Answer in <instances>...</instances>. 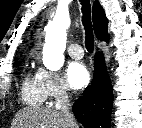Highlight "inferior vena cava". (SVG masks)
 <instances>
[{
  "mask_svg": "<svg viewBox=\"0 0 142 128\" xmlns=\"http://www.w3.org/2000/svg\"><path fill=\"white\" fill-rule=\"evenodd\" d=\"M60 114L65 118L70 128H78L74 115L70 111V104L67 93L61 95L59 99Z\"/></svg>",
  "mask_w": 142,
  "mask_h": 128,
  "instance_id": "obj_1",
  "label": "inferior vena cava"
}]
</instances>
